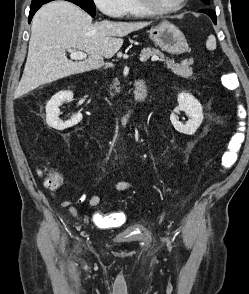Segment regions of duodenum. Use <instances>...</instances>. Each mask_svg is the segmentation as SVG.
Listing matches in <instances>:
<instances>
[{
  "instance_id": "410a0bca",
  "label": "duodenum",
  "mask_w": 249,
  "mask_h": 294,
  "mask_svg": "<svg viewBox=\"0 0 249 294\" xmlns=\"http://www.w3.org/2000/svg\"><path fill=\"white\" fill-rule=\"evenodd\" d=\"M147 97V86L143 79H138L135 85V97H134V106L138 107L142 105ZM129 114L123 118V123L127 122Z\"/></svg>"
}]
</instances>
